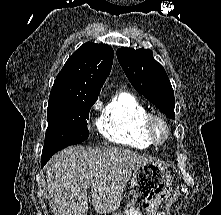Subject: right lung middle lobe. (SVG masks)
<instances>
[{"instance_id": "dd1d6c3e", "label": "right lung middle lobe", "mask_w": 221, "mask_h": 215, "mask_svg": "<svg viewBox=\"0 0 221 215\" xmlns=\"http://www.w3.org/2000/svg\"><path fill=\"white\" fill-rule=\"evenodd\" d=\"M95 101L48 104V128L41 159H48L59 150L88 138L86 119Z\"/></svg>"}]
</instances>
